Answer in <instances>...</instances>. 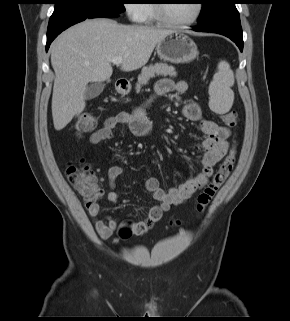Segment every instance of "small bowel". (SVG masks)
Segmentation results:
<instances>
[{
  "instance_id": "obj_1",
  "label": "small bowel",
  "mask_w": 290,
  "mask_h": 321,
  "mask_svg": "<svg viewBox=\"0 0 290 321\" xmlns=\"http://www.w3.org/2000/svg\"><path fill=\"white\" fill-rule=\"evenodd\" d=\"M187 89L188 85L183 80L174 82L171 79L164 78L158 81L155 95L162 96L171 92L183 94ZM183 114L186 119L197 122L199 130L204 135V138L195 147V150L202 153L201 170L192 178L167 191L161 188L156 178L150 177L146 180V189L152 194L157 204L150 209L145 218L133 223L135 234L137 235L146 233L154 223L162 218L172 205L185 203L196 191L202 188L212 175L214 165L227 151L230 130L216 124L210 119L204 118L198 102L194 100L186 102L183 107ZM118 124H126L131 132L138 137H147L153 130V125L147 118L145 110L139 107L132 112H122L106 118L102 126L91 134L89 142L95 145L110 139L113 129ZM122 172V167L118 165L112 166L108 171L111 189L106 197L111 203H117L120 199L115 189V181L122 175ZM86 209L93 219L95 229L100 237L103 239L109 238L118 227V222L109 216H106L105 219H99L100 207L97 203L86 206Z\"/></svg>"
}]
</instances>
